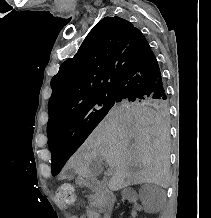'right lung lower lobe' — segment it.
I'll use <instances>...</instances> for the list:
<instances>
[{
	"label": "right lung lower lobe",
	"instance_id": "obj_1",
	"mask_svg": "<svg viewBox=\"0 0 211 218\" xmlns=\"http://www.w3.org/2000/svg\"><path fill=\"white\" fill-rule=\"evenodd\" d=\"M113 92L123 98H167L160 68L151 51L115 84Z\"/></svg>",
	"mask_w": 211,
	"mask_h": 218
}]
</instances>
